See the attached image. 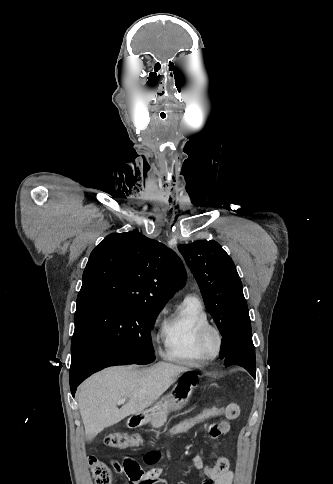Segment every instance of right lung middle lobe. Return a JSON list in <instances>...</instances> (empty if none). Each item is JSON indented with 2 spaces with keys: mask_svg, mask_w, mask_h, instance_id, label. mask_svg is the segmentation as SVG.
I'll use <instances>...</instances> for the list:
<instances>
[{
  "mask_svg": "<svg viewBox=\"0 0 333 484\" xmlns=\"http://www.w3.org/2000/svg\"><path fill=\"white\" fill-rule=\"evenodd\" d=\"M159 309L131 303L91 301L77 304L71 350L79 335L92 332L113 343L135 364L155 360L150 331Z\"/></svg>",
  "mask_w": 333,
  "mask_h": 484,
  "instance_id": "obj_1",
  "label": "right lung middle lobe"
}]
</instances>
